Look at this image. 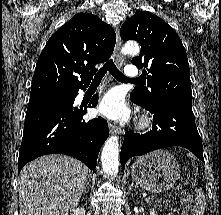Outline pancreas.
Here are the masks:
<instances>
[{
	"mask_svg": "<svg viewBox=\"0 0 221 215\" xmlns=\"http://www.w3.org/2000/svg\"><path fill=\"white\" fill-rule=\"evenodd\" d=\"M158 203H162V204H164L165 207L168 206V200H163V201L158 200Z\"/></svg>",
	"mask_w": 221,
	"mask_h": 215,
	"instance_id": "obj_1",
	"label": "pancreas"
}]
</instances>
